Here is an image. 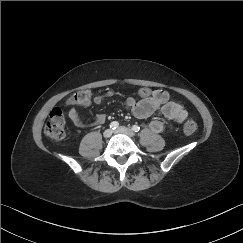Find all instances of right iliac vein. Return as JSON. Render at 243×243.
I'll use <instances>...</instances> for the list:
<instances>
[{
	"instance_id": "1",
	"label": "right iliac vein",
	"mask_w": 243,
	"mask_h": 243,
	"mask_svg": "<svg viewBox=\"0 0 243 243\" xmlns=\"http://www.w3.org/2000/svg\"><path fill=\"white\" fill-rule=\"evenodd\" d=\"M112 133H113V131L111 129H107L104 131L103 135L105 138H109V137H111Z\"/></svg>"
}]
</instances>
